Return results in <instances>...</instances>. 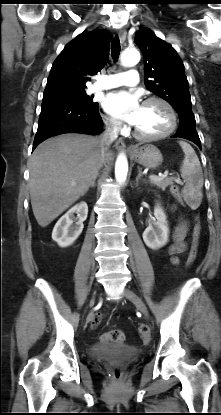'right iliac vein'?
<instances>
[{"instance_id": "right-iliac-vein-1", "label": "right iliac vein", "mask_w": 221, "mask_h": 415, "mask_svg": "<svg viewBox=\"0 0 221 415\" xmlns=\"http://www.w3.org/2000/svg\"><path fill=\"white\" fill-rule=\"evenodd\" d=\"M94 301H95V299H94V297L91 299V302H90V304L91 305H93L94 304Z\"/></svg>"}]
</instances>
